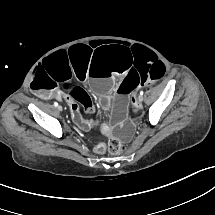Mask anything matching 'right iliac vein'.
Here are the masks:
<instances>
[{"instance_id": "63e3f726", "label": "right iliac vein", "mask_w": 215, "mask_h": 215, "mask_svg": "<svg viewBox=\"0 0 215 215\" xmlns=\"http://www.w3.org/2000/svg\"><path fill=\"white\" fill-rule=\"evenodd\" d=\"M57 110H58V111H62V107H61V106H58V107H57Z\"/></svg>"}]
</instances>
